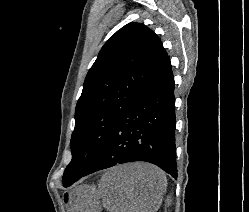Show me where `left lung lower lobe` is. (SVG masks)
Returning <instances> with one entry per match:
<instances>
[{
    "label": "left lung lower lobe",
    "mask_w": 249,
    "mask_h": 212,
    "mask_svg": "<svg viewBox=\"0 0 249 212\" xmlns=\"http://www.w3.org/2000/svg\"><path fill=\"white\" fill-rule=\"evenodd\" d=\"M174 85L167 56L121 115L98 158L83 176L116 164L146 161L176 178Z\"/></svg>",
    "instance_id": "0a47b994"
}]
</instances>
